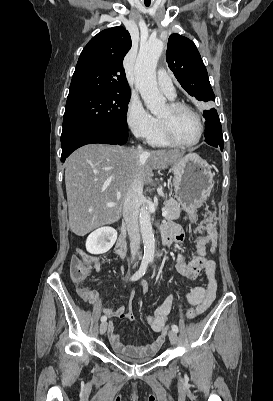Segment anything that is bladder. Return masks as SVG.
Here are the masks:
<instances>
[{
  "mask_svg": "<svg viewBox=\"0 0 273 401\" xmlns=\"http://www.w3.org/2000/svg\"><path fill=\"white\" fill-rule=\"evenodd\" d=\"M115 355L119 360H121L123 362H129V363H144V362H148V361H151L152 359H154V355H150V356H147V357H144L141 359H132V358L120 355V354H115Z\"/></svg>",
  "mask_w": 273,
  "mask_h": 401,
  "instance_id": "1",
  "label": "bladder"
}]
</instances>
